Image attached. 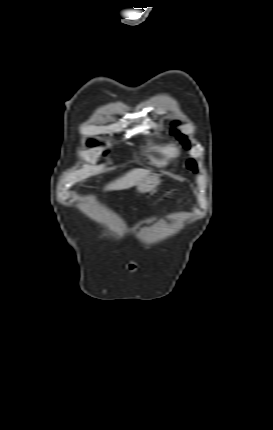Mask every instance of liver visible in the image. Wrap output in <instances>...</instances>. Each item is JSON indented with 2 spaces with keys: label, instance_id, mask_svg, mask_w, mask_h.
<instances>
[{
  "label": "liver",
  "instance_id": "liver-1",
  "mask_svg": "<svg viewBox=\"0 0 273 430\" xmlns=\"http://www.w3.org/2000/svg\"><path fill=\"white\" fill-rule=\"evenodd\" d=\"M151 174V171L146 169H132L131 171L125 173L123 176L119 177L115 181L109 183L105 190H124L128 189L134 185H138L140 181Z\"/></svg>",
  "mask_w": 273,
  "mask_h": 430
}]
</instances>
